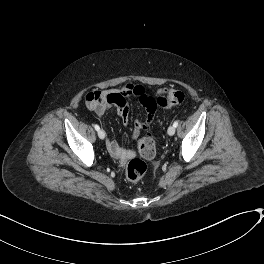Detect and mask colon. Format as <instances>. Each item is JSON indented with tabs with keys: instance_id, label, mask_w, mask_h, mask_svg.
Here are the masks:
<instances>
[{
	"instance_id": "colon-1",
	"label": "colon",
	"mask_w": 264,
	"mask_h": 264,
	"mask_svg": "<svg viewBox=\"0 0 264 264\" xmlns=\"http://www.w3.org/2000/svg\"><path fill=\"white\" fill-rule=\"evenodd\" d=\"M138 99L144 103L148 110H152L157 106L162 108L172 107L181 104L184 99V93L174 90H160L156 97L146 96L145 94L137 95ZM137 128L144 131L147 130V124L143 122L136 123ZM138 150L145 159H152L156 154V146L153 135L145 133L138 142ZM147 166L141 159H133L127 166L126 178L130 181H139L146 173Z\"/></svg>"
}]
</instances>
